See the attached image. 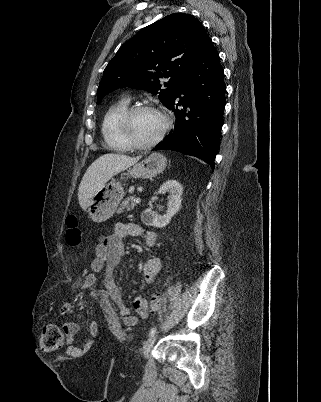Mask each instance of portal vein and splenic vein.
<instances>
[{
    "instance_id": "18ae733b",
    "label": "portal vein and splenic vein",
    "mask_w": 321,
    "mask_h": 402,
    "mask_svg": "<svg viewBox=\"0 0 321 402\" xmlns=\"http://www.w3.org/2000/svg\"><path fill=\"white\" fill-rule=\"evenodd\" d=\"M133 199H134V202H135V203H139V202H140V198H138V197L133 198Z\"/></svg>"
}]
</instances>
